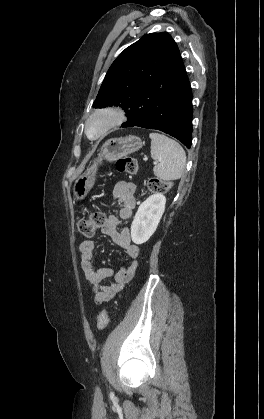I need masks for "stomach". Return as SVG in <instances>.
<instances>
[{
	"instance_id": "obj_1",
	"label": "stomach",
	"mask_w": 264,
	"mask_h": 419,
	"mask_svg": "<svg viewBox=\"0 0 264 419\" xmlns=\"http://www.w3.org/2000/svg\"><path fill=\"white\" fill-rule=\"evenodd\" d=\"M142 146L143 142L141 138L133 135L107 140L102 145L95 162L75 180L73 185L74 198L77 201L83 200L90 192L94 186L100 162L103 160L112 162L139 150Z\"/></svg>"
}]
</instances>
